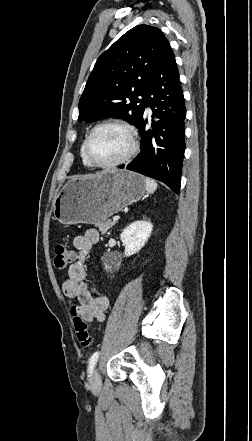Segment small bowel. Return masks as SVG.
<instances>
[{
  "mask_svg": "<svg viewBox=\"0 0 252 441\" xmlns=\"http://www.w3.org/2000/svg\"><path fill=\"white\" fill-rule=\"evenodd\" d=\"M99 233L95 229H88L73 240L77 254L73 253L75 261L70 265L67 277L62 284V291L66 298L78 301L80 314L88 321L102 322L105 311L109 307L108 298L99 293L95 287H89L86 278L85 261L92 246L97 243Z\"/></svg>",
  "mask_w": 252,
  "mask_h": 441,
  "instance_id": "c3829d8e",
  "label": "small bowel"
}]
</instances>
